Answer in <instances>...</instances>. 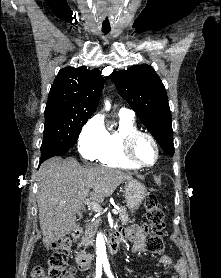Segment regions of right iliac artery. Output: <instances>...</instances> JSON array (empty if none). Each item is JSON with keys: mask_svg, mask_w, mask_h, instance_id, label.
<instances>
[{"mask_svg": "<svg viewBox=\"0 0 221 278\" xmlns=\"http://www.w3.org/2000/svg\"><path fill=\"white\" fill-rule=\"evenodd\" d=\"M102 275V264L96 265V276L95 278H101Z\"/></svg>", "mask_w": 221, "mask_h": 278, "instance_id": "1", "label": "right iliac artery"}]
</instances>
